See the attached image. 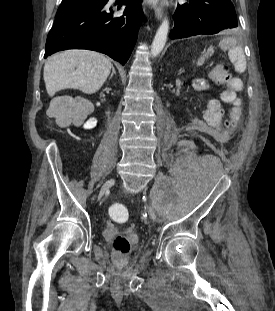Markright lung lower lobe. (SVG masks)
I'll list each match as a JSON object with an SVG mask.
<instances>
[{
  "instance_id": "obj_1",
  "label": "right lung lower lobe",
  "mask_w": 275,
  "mask_h": 311,
  "mask_svg": "<svg viewBox=\"0 0 275 311\" xmlns=\"http://www.w3.org/2000/svg\"><path fill=\"white\" fill-rule=\"evenodd\" d=\"M88 6L56 16L50 30L44 58L65 49H89L102 52L123 65L134 48L141 24L140 0H126L120 16L117 8L106 5Z\"/></svg>"
}]
</instances>
